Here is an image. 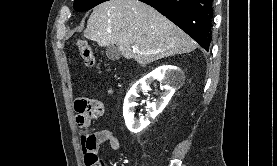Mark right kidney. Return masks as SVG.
<instances>
[{
  "mask_svg": "<svg viewBox=\"0 0 277 166\" xmlns=\"http://www.w3.org/2000/svg\"><path fill=\"white\" fill-rule=\"evenodd\" d=\"M155 79L161 81L162 88L164 89L163 95L159 100L148 105L151 110L148 111V114L145 117H141L137 120L134 118V107L137 106L136 98L141 91L147 92L150 89V83ZM175 79V67L163 66L155 69L132 86L125 97L123 106L125 124L131 132L138 133L142 131L150 124L151 118H155L163 111L173 96L174 88L172 84Z\"/></svg>",
  "mask_w": 277,
  "mask_h": 166,
  "instance_id": "right-kidney-1",
  "label": "right kidney"
}]
</instances>
